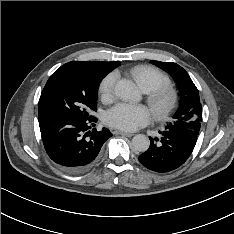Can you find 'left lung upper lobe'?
I'll return each instance as SVG.
<instances>
[{"label":"left lung upper lobe","instance_id":"5c2ea615","mask_svg":"<svg viewBox=\"0 0 234 234\" xmlns=\"http://www.w3.org/2000/svg\"><path fill=\"white\" fill-rule=\"evenodd\" d=\"M164 71L168 72L176 81L180 91V106L174 121L165 129L181 131L190 138L197 140L202 122V106L199 92L188 73L178 64L172 62L150 61Z\"/></svg>","mask_w":234,"mask_h":234}]
</instances>
